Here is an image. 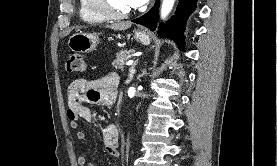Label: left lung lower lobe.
I'll return each mask as SVG.
<instances>
[{
    "label": "left lung lower lobe",
    "mask_w": 277,
    "mask_h": 166,
    "mask_svg": "<svg viewBox=\"0 0 277 166\" xmlns=\"http://www.w3.org/2000/svg\"><path fill=\"white\" fill-rule=\"evenodd\" d=\"M197 0H179L176 15L173 16L164 26L158 27V34L162 38H171L179 46L180 49L184 46L183 32L188 16L194 11ZM159 0H156L152 7L143 16L132 20V22L144 25L151 30H155L158 20Z\"/></svg>",
    "instance_id": "1"
}]
</instances>
